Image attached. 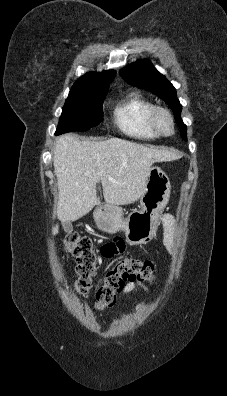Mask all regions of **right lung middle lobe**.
<instances>
[{
    "instance_id": "obj_1",
    "label": "right lung middle lobe",
    "mask_w": 227,
    "mask_h": 396,
    "mask_svg": "<svg viewBox=\"0 0 227 396\" xmlns=\"http://www.w3.org/2000/svg\"><path fill=\"white\" fill-rule=\"evenodd\" d=\"M107 90L72 87L63 107L56 135L86 131L103 121L102 103Z\"/></svg>"
}]
</instances>
